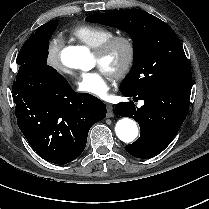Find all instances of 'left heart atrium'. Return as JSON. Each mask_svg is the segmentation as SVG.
Returning a JSON list of instances; mask_svg holds the SVG:
<instances>
[{
	"label": "left heart atrium",
	"instance_id": "39dd6f15",
	"mask_svg": "<svg viewBox=\"0 0 209 209\" xmlns=\"http://www.w3.org/2000/svg\"><path fill=\"white\" fill-rule=\"evenodd\" d=\"M111 85V79L102 69L79 74L76 86L79 91L97 98H105Z\"/></svg>",
	"mask_w": 209,
	"mask_h": 209
}]
</instances>
